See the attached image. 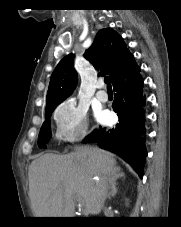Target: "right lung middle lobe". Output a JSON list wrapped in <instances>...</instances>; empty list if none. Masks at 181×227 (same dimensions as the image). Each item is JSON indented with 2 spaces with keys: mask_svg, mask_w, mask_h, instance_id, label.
Wrapping results in <instances>:
<instances>
[{
  "mask_svg": "<svg viewBox=\"0 0 181 227\" xmlns=\"http://www.w3.org/2000/svg\"><path fill=\"white\" fill-rule=\"evenodd\" d=\"M56 106L57 105H52V106L46 107V112H45L46 121L41 127L39 138H38L39 146L44 148V149L47 148L46 144L49 142V140L51 138L50 121L49 120H50V117H51V113L55 109Z\"/></svg>",
  "mask_w": 181,
  "mask_h": 227,
  "instance_id": "right-lung-middle-lobe-1",
  "label": "right lung middle lobe"
}]
</instances>
